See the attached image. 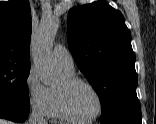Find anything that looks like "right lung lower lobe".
I'll return each instance as SVG.
<instances>
[{"instance_id":"98d812e1","label":"right lung lower lobe","mask_w":156,"mask_h":124,"mask_svg":"<svg viewBox=\"0 0 156 124\" xmlns=\"http://www.w3.org/2000/svg\"><path fill=\"white\" fill-rule=\"evenodd\" d=\"M30 103L0 96V118L24 122L29 115Z\"/></svg>"}]
</instances>
